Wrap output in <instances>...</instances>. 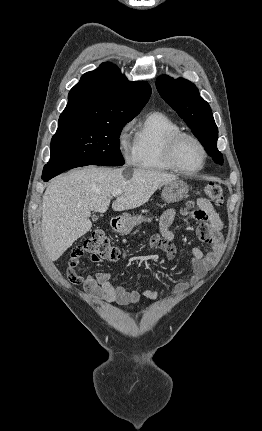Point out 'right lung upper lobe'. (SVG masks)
Wrapping results in <instances>:
<instances>
[{"mask_svg":"<svg viewBox=\"0 0 262 431\" xmlns=\"http://www.w3.org/2000/svg\"><path fill=\"white\" fill-rule=\"evenodd\" d=\"M147 82H130L118 67L105 62L85 73L69 92L59 125L80 120L109 121L134 118L148 102Z\"/></svg>","mask_w":262,"mask_h":431,"instance_id":"cb5924a9","label":"right lung upper lobe"}]
</instances>
